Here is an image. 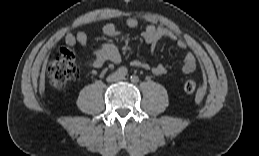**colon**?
<instances>
[{
	"instance_id": "5ec220e1",
	"label": "colon",
	"mask_w": 259,
	"mask_h": 156,
	"mask_svg": "<svg viewBox=\"0 0 259 156\" xmlns=\"http://www.w3.org/2000/svg\"><path fill=\"white\" fill-rule=\"evenodd\" d=\"M47 77L50 85L58 90L66 87V85L74 80L78 75V66L75 61V54L72 47H64L60 52L53 56L46 68ZM197 89V82L188 80L184 84L186 93H193Z\"/></svg>"
}]
</instances>
